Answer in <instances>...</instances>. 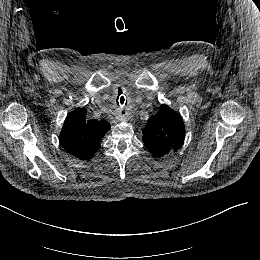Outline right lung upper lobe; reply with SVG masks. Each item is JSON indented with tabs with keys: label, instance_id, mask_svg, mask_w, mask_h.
Instances as JSON below:
<instances>
[{
	"label": "right lung upper lobe",
	"instance_id": "right-lung-upper-lobe-1",
	"mask_svg": "<svg viewBox=\"0 0 260 260\" xmlns=\"http://www.w3.org/2000/svg\"><path fill=\"white\" fill-rule=\"evenodd\" d=\"M85 108H77L65 119L60 133L62 147L71 155L88 160L99 150L100 141L110 129L104 120H88Z\"/></svg>",
	"mask_w": 260,
	"mask_h": 260
}]
</instances>
